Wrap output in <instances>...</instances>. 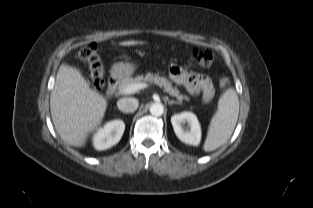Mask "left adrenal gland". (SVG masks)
Instances as JSON below:
<instances>
[{"instance_id":"1","label":"left adrenal gland","mask_w":313,"mask_h":208,"mask_svg":"<svg viewBox=\"0 0 313 208\" xmlns=\"http://www.w3.org/2000/svg\"><path fill=\"white\" fill-rule=\"evenodd\" d=\"M168 104L171 106L172 104H180L178 101L168 100Z\"/></svg>"}]
</instances>
